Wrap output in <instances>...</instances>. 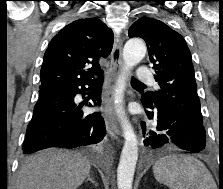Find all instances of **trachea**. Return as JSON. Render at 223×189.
<instances>
[{"mask_svg": "<svg viewBox=\"0 0 223 189\" xmlns=\"http://www.w3.org/2000/svg\"><path fill=\"white\" fill-rule=\"evenodd\" d=\"M132 83H133V84L143 85V83H142V82L138 81V80H137V79H135V78H132Z\"/></svg>", "mask_w": 223, "mask_h": 189, "instance_id": "trachea-1", "label": "trachea"}]
</instances>
